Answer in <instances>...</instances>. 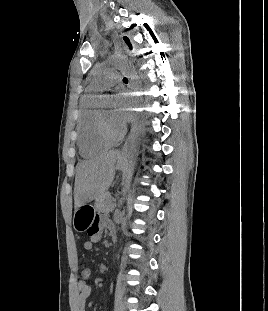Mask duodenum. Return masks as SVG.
Instances as JSON below:
<instances>
[{
    "label": "duodenum",
    "instance_id": "obj_1",
    "mask_svg": "<svg viewBox=\"0 0 268 311\" xmlns=\"http://www.w3.org/2000/svg\"><path fill=\"white\" fill-rule=\"evenodd\" d=\"M110 232H111V237H112V239L115 240L116 237H117V234H116L115 229L111 230Z\"/></svg>",
    "mask_w": 268,
    "mask_h": 311
}]
</instances>
